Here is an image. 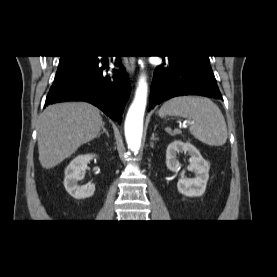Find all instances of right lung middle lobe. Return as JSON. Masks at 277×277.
Here are the masks:
<instances>
[{"label": "right lung middle lobe", "mask_w": 277, "mask_h": 277, "mask_svg": "<svg viewBox=\"0 0 277 277\" xmlns=\"http://www.w3.org/2000/svg\"><path fill=\"white\" fill-rule=\"evenodd\" d=\"M96 56L82 55V56H61L59 67L55 76V81H58L65 76L73 73L81 67L92 62Z\"/></svg>", "instance_id": "dd1d6c3e"}]
</instances>
